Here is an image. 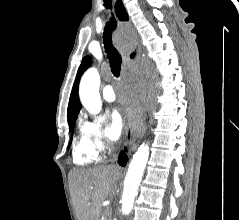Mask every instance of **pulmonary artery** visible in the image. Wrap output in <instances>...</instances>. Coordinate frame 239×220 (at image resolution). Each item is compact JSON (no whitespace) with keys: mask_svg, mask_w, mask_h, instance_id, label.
Listing matches in <instances>:
<instances>
[{"mask_svg":"<svg viewBox=\"0 0 239 220\" xmlns=\"http://www.w3.org/2000/svg\"><path fill=\"white\" fill-rule=\"evenodd\" d=\"M103 97L108 102H113L116 100V94L112 85H107L104 87Z\"/></svg>","mask_w":239,"mask_h":220,"instance_id":"pulmonary-artery-1","label":"pulmonary artery"}]
</instances>
